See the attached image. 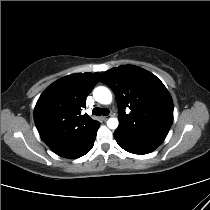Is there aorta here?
<instances>
[{"instance_id": "762f6f07", "label": "aorta", "mask_w": 210, "mask_h": 210, "mask_svg": "<svg viewBox=\"0 0 210 210\" xmlns=\"http://www.w3.org/2000/svg\"><path fill=\"white\" fill-rule=\"evenodd\" d=\"M94 99L101 104L108 105L112 102V94L111 91L104 86L96 87L93 91ZM119 125V121L117 118H109L107 121V126L110 129H116Z\"/></svg>"}]
</instances>
